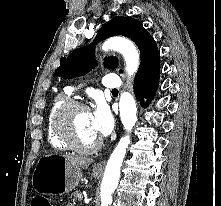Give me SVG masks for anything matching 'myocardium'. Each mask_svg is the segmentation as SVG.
<instances>
[{"mask_svg":"<svg viewBox=\"0 0 221 206\" xmlns=\"http://www.w3.org/2000/svg\"><path fill=\"white\" fill-rule=\"evenodd\" d=\"M76 110L89 111V107L79 101L70 100L62 104L56 111L54 117L55 131L58 137L73 151L81 154H91L101 146V139L89 146L82 145L75 134L73 125V113Z\"/></svg>","mask_w":221,"mask_h":206,"instance_id":"1","label":"myocardium"}]
</instances>
